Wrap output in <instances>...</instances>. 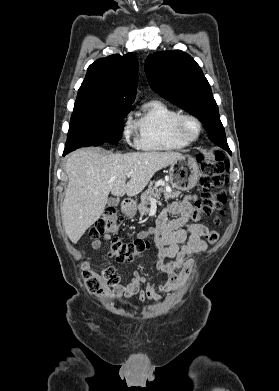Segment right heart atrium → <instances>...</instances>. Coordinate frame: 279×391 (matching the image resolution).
I'll list each match as a JSON object with an SVG mask.
<instances>
[{
  "label": "right heart atrium",
  "instance_id": "1",
  "mask_svg": "<svg viewBox=\"0 0 279 391\" xmlns=\"http://www.w3.org/2000/svg\"><path fill=\"white\" fill-rule=\"evenodd\" d=\"M123 135L126 138V140H129L131 137V126L129 124V116L126 117V123L124 126Z\"/></svg>",
  "mask_w": 279,
  "mask_h": 391
}]
</instances>
